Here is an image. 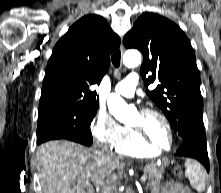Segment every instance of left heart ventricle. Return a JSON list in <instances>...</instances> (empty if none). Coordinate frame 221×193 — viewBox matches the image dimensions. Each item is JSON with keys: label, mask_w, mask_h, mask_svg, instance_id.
Instances as JSON below:
<instances>
[{"label": "left heart ventricle", "mask_w": 221, "mask_h": 193, "mask_svg": "<svg viewBox=\"0 0 221 193\" xmlns=\"http://www.w3.org/2000/svg\"><path fill=\"white\" fill-rule=\"evenodd\" d=\"M130 126L142 127L149 139L162 148H168L170 145V136L164 122L155 115L142 116L136 113Z\"/></svg>", "instance_id": "left-heart-ventricle-1"}]
</instances>
